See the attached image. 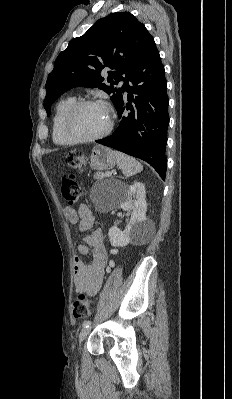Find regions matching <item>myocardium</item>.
<instances>
[{"instance_id":"obj_1","label":"myocardium","mask_w":232,"mask_h":399,"mask_svg":"<svg viewBox=\"0 0 232 399\" xmlns=\"http://www.w3.org/2000/svg\"><path fill=\"white\" fill-rule=\"evenodd\" d=\"M88 105H103V106H105L109 112V125H108L107 129L100 135H97L94 137L83 138L74 133L71 123H72V119H73V116L75 115V113L80 108H82L84 106H88ZM114 125H115V118H114V114H113V110H112L111 106L103 101L95 100V99H83V100L77 101L66 112V114L64 116V120H63V128H64L65 134L75 143H94V142L101 141V140L107 138L111 134V132L114 129Z\"/></svg>"}]
</instances>
